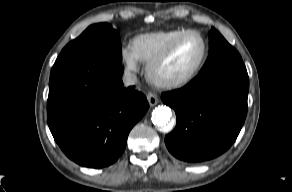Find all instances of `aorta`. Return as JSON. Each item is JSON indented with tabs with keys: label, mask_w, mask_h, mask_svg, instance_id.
I'll return each mask as SVG.
<instances>
[{
	"label": "aorta",
	"mask_w": 292,
	"mask_h": 192,
	"mask_svg": "<svg viewBox=\"0 0 292 192\" xmlns=\"http://www.w3.org/2000/svg\"><path fill=\"white\" fill-rule=\"evenodd\" d=\"M171 119L172 112L169 107L158 106L152 112V122L163 132H169L173 128Z\"/></svg>",
	"instance_id": "1"
}]
</instances>
